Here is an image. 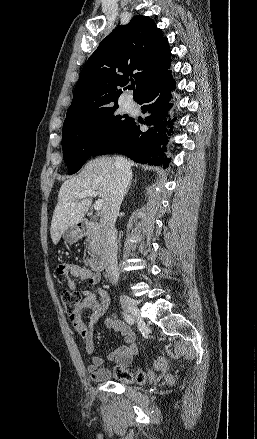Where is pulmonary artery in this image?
Instances as JSON below:
<instances>
[{
    "instance_id": "e3ab8cb5",
    "label": "pulmonary artery",
    "mask_w": 257,
    "mask_h": 439,
    "mask_svg": "<svg viewBox=\"0 0 257 439\" xmlns=\"http://www.w3.org/2000/svg\"><path fill=\"white\" fill-rule=\"evenodd\" d=\"M133 103H132V101L131 100H128L127 101V105H132Z\"/></svg>"
}]
</instances>
